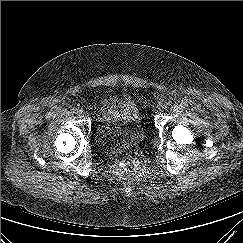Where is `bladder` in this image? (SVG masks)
Segmentation results:
<instances>
[{
    "mask_svg": "<svg viewBox=\"0 0 243 243\" xmlns=\"http://www.w3.org/2000/svg\"><path fill=\"white\" fill-rule=\"evenodd\" d=\"M144 136L140 110L128 96L121 99L117 115L101 116L95 129L96 142L105 147L136 145Z\"/></svg>",
    "mask_w": 243,
    "mask_h": 243,
    "instance_id": "obj_1",
    "label": "bladder"
}]
</instances>
